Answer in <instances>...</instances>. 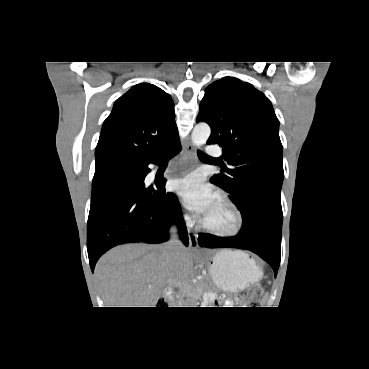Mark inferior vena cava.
<instances>
[{
    "label": "inferior vena cava",
    "instance_id": "602c4592",
    "mask_svg": "<svg viewBox=\"0 0 369 369\" xmlns=\"http://www.w3.org/2000/svg\"><path fill=\"white\" fill-rule=\"evenodd\" d=\"M176 232L177 229L175 226L170 228V240L164 245V252L168 256L175 254L180 248L183 247L182 243L178 239Z\"/></svg>",
    "mask_w": 369,
    "mask_h": 369
}]
</instances>
